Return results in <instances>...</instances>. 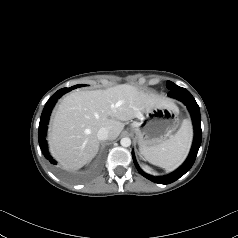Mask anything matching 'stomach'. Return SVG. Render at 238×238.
<instances>
[{"label":"stomach","instance_id":"1","mask_svg":"<svg viewBox=\"0 0 238 238\" xmlns=\"http://www.w3.org/2000/svg\"><path fill=\"white\" fill-rule=\"evenodd\" d=\"M178 115L177 106H161L145 111L141 118L133 121L131 128L140 150L157 146L170 138L179 126Z\"/></svg>","mask_w":238,"mask_h":238}]
</instances>
